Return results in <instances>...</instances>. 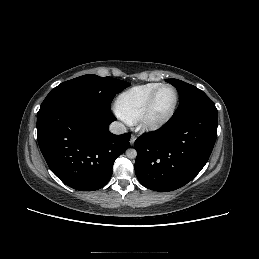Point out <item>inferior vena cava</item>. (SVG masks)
Wrapping results in <instances>:
<instances>
[{
  "label": "inferior vena cava",
  "instance_id": "602c4592",
  "mask_svg": "<svg viewBox=\"0 0 259 259\" xmlns=\"http://www.w3.org/2000/svg\"><path fill=\"white\" fill-rule=\"evenodd\" d=\"M109 130L113 134H123L126 132V127L121 122H112L109 126Z\"/></svg>",
  "mask_w": 259,
  "mask_h": 259
}]
</instances>
